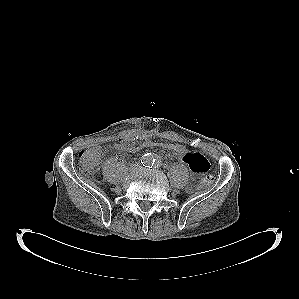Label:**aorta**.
I'll list each match as a JSON object with an SVG mask.
<instances>
[{
	"instance_id": "obj_1",
	"label": "aorta",
	"mask_w": 299,
	"mask_h": 299,
	"mask_svg": "<svg viewBox=\"0 0 299 299\" xmlns=\"http://www.w3.org/2000/svg\"><path fill=\"white\" fill-rule=\"evenodd\" d=\"M142 163L147 167L153 166L156 163V157L151 153H147L142 157Z\"/></svg>"
}]
</instances>
